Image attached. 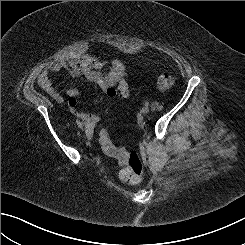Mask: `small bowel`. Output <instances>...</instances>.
Listing matches in <instances>:
<instances>
[{
	"instance_id": "1",
	"label": "small bowel",
	"mask_w": 245,
	"mask_h": 245,
	"mask_svg": "<svg viewBox=\"0 0 245 245\" xmlns=\"http://www.w3.org/2000/svg\"><path fill=\"white\" fill-rule=\"evenodd\" d=\"M103 65L104 62L102 60L89 55L68 61H52L41 74V77L46 80L42 87L57 103H62L64 97L53 87L50 81V73L66 70L73 77L83 76L87 80L96 83L111 101H115L118 98H127L129 96V85L126 81L124 64L119 60H113L106 72L101 70ZM66 95L69 98L68 106L70 112L83 120L88 128H93L101 120L102 116L99 114L84 113L78 110L77 100L80 96V91L77 88L67 89ZM108 111L109 107L106 109V112Z\"/></svg>"
}]
</instances>
